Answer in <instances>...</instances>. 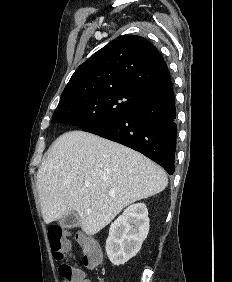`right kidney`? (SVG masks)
<instances>
[{
	"instance_id": "ca27d5eb",
	"label": "right kidney",
	"mask_w": 232,
	"mask_h": 282,
	"mask_svg": "<svg viewBox=\"0 0 232 282\" xmlns=\"http://www.w3.org/2000/svg\"><path fill=\"white\" fill-rule=\"evenodd\" d=\"M149 232L148 210L144 203L127 207L109 229L106 253L114 265H122L141 249Z\"/></svg>"
}]
</instances>
